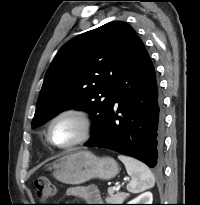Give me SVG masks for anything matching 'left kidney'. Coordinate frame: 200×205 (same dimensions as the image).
Returning a JSON list of instances; mask_svg holds the SVG:
<instances>
[{
    "instance_id": "obj_1",
    "label": "left kidney",
    "mask_w": 200,
    "mask_h": 205,
    "mask_svg": "<svg viewBox=\"0 0 200 205\" xmlns=\"http://www.w3.org/2000/svg\"><path fill=\"white\" fill-rule=\"evenodd\" d=\"M153 195L151 192H144L135 199L128 202V204H152Z\"/></svg>"
}]
</instances>
